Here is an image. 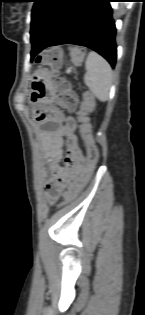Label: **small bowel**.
I'll use <instances>...</instances> for the list:
<instances>
[{"instance_id": "1", "label": "small bowel", "mask_w": 145, "mask_h": 315, "mask_svg": "<svg viewBox=\"0 0 145 315\" xmlns=\"http://www.w3.org/2000/svg\"><path fill=\"white\" fill-rule=\"evenodd\" d=\"M74 129V119L66 118L60 127L46 133L43 137L44 160L41 179L46 197L51 202L57 200L61 195L65 197L67 192L75 187L81 179H84L86 185L91 176L85 175V158L79 141L73 133ZM65 143L69 153L65 159L66 166H61L60 161L63 157Z\"/></svg>"}]
</instances>
